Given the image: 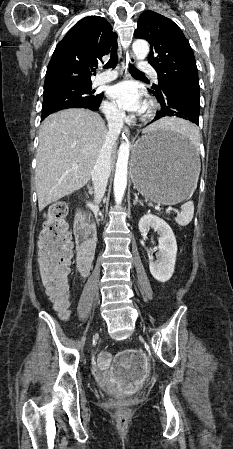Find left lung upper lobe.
<instances>
[{
    "instance_id": "5c2ea615",
    "label": "left lung upper lobe",
    "mask_w": 233,
    "mask_h": 449,
    "mask_svg": "<svg viewBox=\"0 0 233 449\" xmlns=\"http://www.w3.org/2000/svg\"><path fill=\"white\" fill-rule=\"evenodd\" d=\"M134 36L150 44L148 62L158 74V86L153 89L167 86L199 100L198 70L192 48L172 20L145 11L139 17Z\"/></svg>"
}]
</instances>
